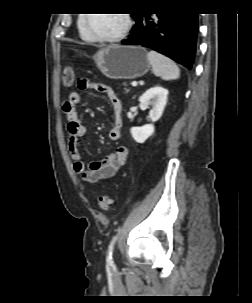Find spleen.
Wrapping results in <instances>:
<instances>
[{
  "label": "spleen",
  "instance_id": "1",
  "mask_svg": "<svg viewBox=\"0 0 252 303\" xmlns=\"http://www.w3.org/2000/svg\"><path fill=\"white\" fill-rule=\"evenodd\" d=\"M147 56L154 75L165 81L176 80L180 77L179 67L168 57L153 50L148 52Z\"/></svg>",
  "mask_w": 252,
  "mask_h": 303
}]
</instances>
